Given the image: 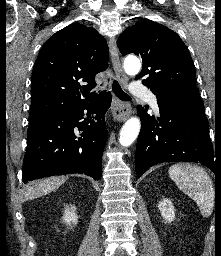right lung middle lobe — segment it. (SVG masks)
Here are the masks:
<instances>
[{"label": "right lung middle lobe", "instance_id": "1", "mask_svg": "<svg viewBox=\"0 0 221 256\" xmlns=\"http://www.w3.org/2000/svg\"><path fill=\"white\" fill-rule=\"evenodd\" d=\"M40 118L39 115H34V116H29V123H35L37 121H39L38 119Z\"/></svg>", "mask_w": 221, "mask_h": 256}]
</instances>
